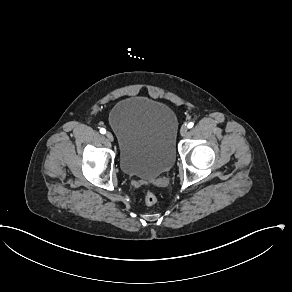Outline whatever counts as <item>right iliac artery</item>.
Returning a JSON list of instances; mask_svg holds the SVG:
<instances>
[{
  "label": "right iliac artery",
  "mask_w": 292,
  "mask_h": 292,
  "mask_svg": "<svg viewBox=\"0 0 292 292\" xmlns=\"http://www.w3.org/2000/svg\"><path fill=\"white\" fill-rule=\"evenodd\" d=\"M100 133H101V134H105V133H106V129H105V128H101V129H100Z\"/></svg>",
  "instance_id": "82829eb1"
}]
</instances>
